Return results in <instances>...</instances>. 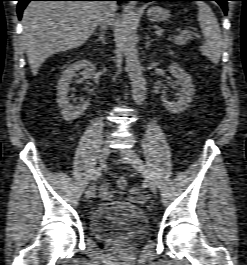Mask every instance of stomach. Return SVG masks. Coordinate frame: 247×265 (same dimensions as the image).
I'll use <instances>...</instances> for the list:
<instances>
[{"label":"stomach","mask_w":247,"mask_h":265,"mask_svg":"<svg viewBox=\"0 0 247 265\" xmlns=\"http://www.w3.org/2000/svg\"><path fill=\"white\" fill-rule=\"evenodd\" d=\"M147 17L153 22L165 21L170 17V13L167 9L153 6L147 11Z\"/></svg>","instance_id":"1"}]
</instances>
